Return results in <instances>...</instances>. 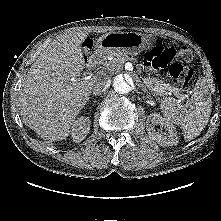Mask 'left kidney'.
<instances>
[{
  "label": "left kidney",
  "mask_w": 221,
  "mask_h": 221,
  "mask_svg": "<svg viewBox=\"0 0 221 221\" xmlns=\"http://www.w3.org/2000/svg\"><path fill=\"white\" fill-rule=\"evenodd\" d=\"M155 125H160L164 127L167 132L160 134L155 130ZM147 131L150 137L162 146H173L178 143V136L176 128L167 121L165 118H162L158 114H151L147 122Z\"/></svg>",
  "instance_id": "left-kidney-1"
}]
</instances>
